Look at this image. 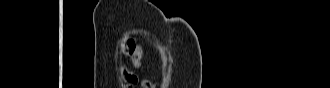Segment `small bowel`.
Wrapping results in <instances>:
<instances>
[{
  "label": "small bowel",
  "mask_w": 330,
  "mask_h": 88,
  "mask_svg": "<svg viewBox=\"0 0 330 88\" xmlns=\"http://www.w3.org/2000/svg\"><path fill=\"white\" fill-rule=\"evenodd\" d=\"M142 54H143V50L140 47H136L134 44V49L131 52V55H132L133 65L137 69L140 67V60ZM120 73L122 75L124 82L130 87L137 85L140 81L139 75L136 72L131 71L125 67L120 68Z\"/></svg>",
  "instance_id": "1"
}]
</instances>
